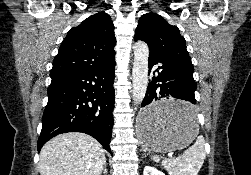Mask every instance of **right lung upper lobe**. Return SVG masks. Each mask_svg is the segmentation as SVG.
<instances>
[{"label":"right lung upper lobe","mask_w":251,"mask_h":175,"mask_svg":"<svg viewBox=\"0 0 251 175\" xmlns=\"http://www.w3.org/2000/svg\"><path fill=\"white\" fill-rule=\"evenodd\" d=\"M114 25L110 15L98 12L69 30L54 58L51 78L109 65L114 61Z\"/></svg>","instance_id":"right-lung-upper-lobe-1"}]
</instances>
